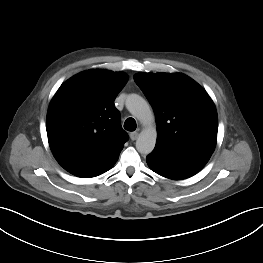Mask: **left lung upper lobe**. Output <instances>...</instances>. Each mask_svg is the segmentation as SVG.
<instances>
[{
    "instance_id": "obj_1",
    "label": "left lung upper lobe",
    "mask_w": 263,
    "mask_h": 263,
    "mask_svg": "<svg viewBox=\"0 0 263 263\" xmlns=\"http://www.w3.org/2000/svg\"><path fill=\"white\" fill-rule=\"evenodd\" d=\"M134 80L154 109L156 146L213 153L218 131L217 111L197 82L181 73H139Z\"/></svg>"
}]
</instances>
